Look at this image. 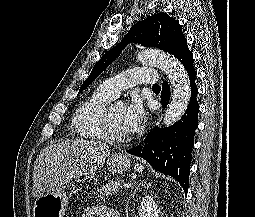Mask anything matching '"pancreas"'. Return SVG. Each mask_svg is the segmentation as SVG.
I'll list each match as a JSON object with an SVG mask.
<instances>
[{
  "mask_svg": "<svg viewBox=\"0 0 255 217\" xmlns=\"http://www.w3.org/2000/svg\"><path fill=\"white\" fill-rule=\"evenodd\" d=\"M121 183V180L110 181L108 184L103 185L102 188L98 189L96 195L101 199L109 198L120 189Z\"/></svg>",
  "mask_w": 255,
  "mask_h": 217,
  "instance_id": "obj_1",
  "label": "pancreas"
}]
</instances>
